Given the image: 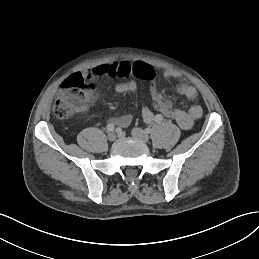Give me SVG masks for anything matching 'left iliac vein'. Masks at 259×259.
Here are the masks:
<instances>
[{
    "mask_svg": "<svg viewBox=\"0 0 259 259\" xmlns=\"http://www.w3.org/2000/svg\"><path fill=\"white\" fill-rule=\"evenodd\" d=\"M131 135L143 142V143H147L149 141V135L141 128H133L132 131H131Z\"/></svg>",
    "mask_w": 259,
    "mask_h": 259,
    "instance_id": "4c4485c4",
    "label": "left iliac vein"
}]
</instances>
